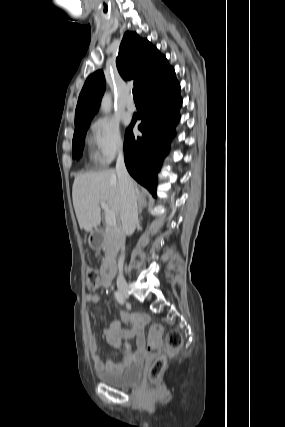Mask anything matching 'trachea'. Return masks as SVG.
Instances as JSON below:
<instances>
[{
    "label": "trachea",
    "instance_id": "obj_1",
    "mask_svg": "<svg viewBox=\"0 0 285 427\" xmlns=\"http://www.w3.org/2000/svg\"><path fill=\"white\" fill-rule=\"evenodd\" d=\"M132 93H133V98H134V100H140V97H139V93H138V89H137V88H134V89H133V91H132Z\"/></svg>",
    "mask_w": 285,
    "mask_h": 427
}]
</instances>
